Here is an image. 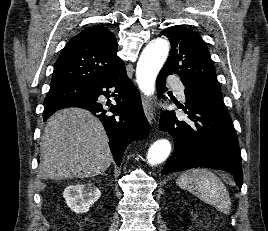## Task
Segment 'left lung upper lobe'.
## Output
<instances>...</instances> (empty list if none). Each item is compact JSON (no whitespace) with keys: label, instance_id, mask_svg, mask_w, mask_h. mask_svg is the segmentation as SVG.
Listing matches in <instances>:
<instances>
[{"label":"left lung upper lobe","instance_id":"5c2ea615","mask_svg":"<svg viewBox=\"0 0 268 231\" xmlns=\"http://www.w3.org/2000/svg\"><path fill=\"white\" fill-rule=\"evenodd\" d=\"M161 35L169 38L171 44L170 56L161 71L177 74L186 91L230 116L223 102L209 50L200 35L178 25L163 30Z\"/></svg>","mask_w":268,"mask_h":231}]
</instances>
